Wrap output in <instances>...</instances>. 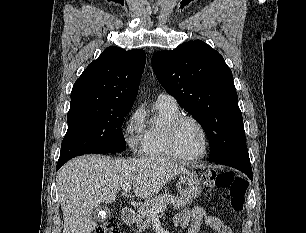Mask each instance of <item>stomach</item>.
Here are the masks:
<instances>
[{
    "mask_svg": "<svg viewBox=\"0 0 306 233\" xmlns=\"http://www.w3.org/2000/svg\"><path fill=\"white\" fill-rule=\"evenodd\" d=\"M176 185L179 194L187 200L199 197L202 192L201 183L194 172L181 173Z\"/></svg>",
    "mask_w": 306,
    "mask_h": 233,
    "instance_id": "obj_1",
    "label": "stomach"
}]
</instances>
